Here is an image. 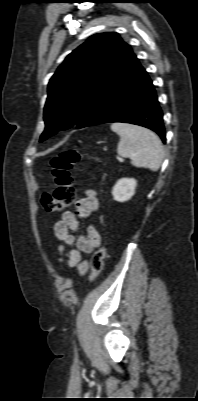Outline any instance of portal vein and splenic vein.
I'll return each instance as SVG.
<instances>
[{
    "instance_id": "obj_1",
    "label": "portal vein and splenic vein",
    "mask_w": 198,
    "mask_h": 401,
    "mask_svg": "<svg viewBox=\"0 0 198 401\" xmlns=\"http://www.w3.org/2000/svg\"><path fill=\"white\" fill-rule=\"evenodd\" d=\"M117 159H118L119 161H123V159H122L121 157H118Z\"/></svg>"
}]
</instances>
